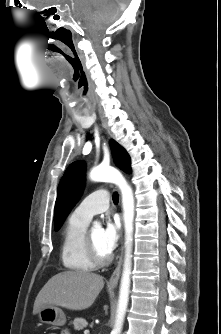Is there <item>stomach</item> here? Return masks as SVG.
<instances>
[{"label": "stomach", "mask_w": 221, "mask_h": 334, "mask_svg": "<svg viewBox=\"0 0 221 334\" xmlns=\"http://www.w3.org/2000/svg\"><path fill=\"white\" fill-rule=\"evenodd\" d=\"M38 317L41 322L50 324L53 326H63L66 323V315L62 309L51 306L41 309L38 312Z\"/></svg>", "instance_id": "stomach-1"}]
</instances>
